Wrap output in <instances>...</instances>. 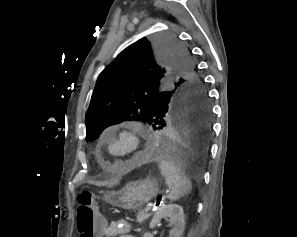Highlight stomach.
<instances>
[{
	"instance_id": "1",
	"label": "stomach",
	"mask_w": 297,
	"mask_h": 237,
	"mask_svg": "<svg viewBox=\"0 0 297 237\" xmlns=\"http://www.w3.org/2000/svg\"><path fill=\"white\" fill-rule=\"evenodd\" d=\"M159 192L155 180L147 177L142 180L131 181L118 192L107 194L105 200L116 207L125 210H137L151 201Z\"/></svg>"
}]
</instances>
